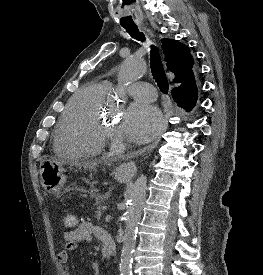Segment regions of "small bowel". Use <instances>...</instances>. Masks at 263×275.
<instances>
[{
  "mask_svg": "<svg viewBox=\"0 0 263 275\" xmlns=\"http://www.w3.org/2000/svg\"><path fill=\"white\" fill-rule=\"evenodd\" d=\"M105 230L90 221H82L74 228L64 233V244L57 255V260L63 269V275H72L69 270V256L80 244L90 243L93 236L102 241Z\"/></svg>",
  "mask_w": 263,
  "mask_h": 275,
  "instance_id": "c3829d8e",
  "label": "small bowel"
}]
</instances>
